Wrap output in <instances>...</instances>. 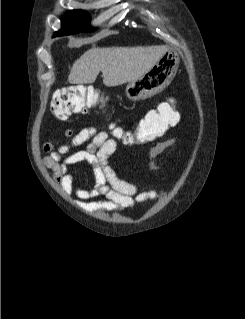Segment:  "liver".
<instances>
[{
    "instance_id": "1",
    "label": "liver",
    "mask_w": 245,
    "mask_h": 319,
    "mask_svg": "<svg viewBox=\"0 0 245 319\" xmlns=\"http://www.w3.org/2000/svg\"><path fill=\"white\" fill-rule=\"evenodd\" d=\"M166 46L93 47L77 59L68 76L71 84L93 83L99 72L103 83L115 87L146 73L165 53Z\"/></svg>"
}]
</instances>
